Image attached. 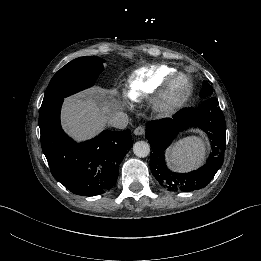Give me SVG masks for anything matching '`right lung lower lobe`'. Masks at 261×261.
Masks as SVG:
<instances>
[{
	"label": "right lung lower lobe",
	"mask_w": 261,
	"mask_h": 261,
	"mask_svg": "<svg viewBox=\"0 0 261 261\" xmlns=\"http://www.w3.org/2000/svg\"><path fill=\"white\" fill-rule=\"evenodd\" d=\"M64 98L43 104L39 113L42 150L53 177L76 195L96 196L109 191L118 178V165L132 147L130 130H105L76 143L62 130Z\"/></svg>",
	"instance_id": "right-lung-lower-lobe-1"
}]
</instances>
